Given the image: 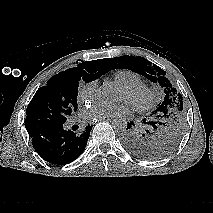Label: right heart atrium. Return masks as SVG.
Returning a JSON list of instances; mask_svg holds the SVG:
<instances>
[{
    "label": "right heart atrium",
    "instance_id": "right-heart-atrium-1",
    "mask_svg": "<svg viewBox=\"0 0 213 213\" xmlns=\"http://www.w3.org/2000/svg\"><path fill=\"white\" fill-rule=\"evenodd\" d=\"M97 83L96 81H89L81 83L78 88V101L83 104L92 103L96 98Z\"/></svg>",
    "mask_w": 213,
    "mask_h": 213
}]
</instances>
